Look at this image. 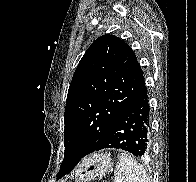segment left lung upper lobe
<instances>
[{
	"instance_id": "5c2ea615",
	"label": "left lung upper lobe",
	"mask_w": 196,
	"mask_h": 182,
	"mask_svg": "<svg viewBox=\"0 0 196 182\" xmlns=\"http://www.w3.org/2000/svg\"><path fill=\"white\" fill-rule=\"evenodd\" d=\"M144 85L143 71L129 45L110 34L97 38L78 64L68 90L64 157L78 146L82 156L93 152ZM77 164L63 160L57 179Z\"/></svg>"
}]
</instances>
